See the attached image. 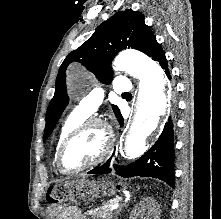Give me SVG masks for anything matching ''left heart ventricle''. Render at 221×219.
<instances>
[{"label":"left heart ventricle","mask_w":221,"mask_h":219,"mask_svg":"<svg viewBox=\"0 0 221 219\" xmlns=\"http://www.w3.org/2000/svg\"><path fill=\"white\" fill-rule=\"evenodd\" d=\"M104 144V132L98 126L86 129L66 148L65 166L74 169L90 163L101 153Z\"/></svg>","instance_id":"1"}]
</instances>
